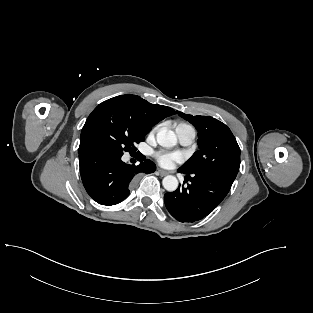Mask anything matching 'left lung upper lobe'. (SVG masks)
<instances>
[{"mask_svg":"<svg viewBox=\"0 0 313 313\" xmlns=\"http://www.w3.org/2000/svg\"><path fill=\"white\" fill-rule=\"evenodd\" d=\"M198 131V147L180 168L188 174L215 173L233 179L240 167V148L231 130L210 116H192L178 111Z\"/></svg>","mask_w":313,"mask_h":313,"instance_id":"5c2ea615","label":"left lung upper lobe"}]
</instances>
